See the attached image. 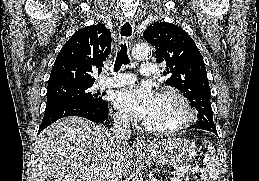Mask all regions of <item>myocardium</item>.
<instances>
[{"mask_svg": "<svg viewBox=\"0 0 259 181\" xmlns=\"http://www.w3.org/2000/svg\"><path fill=\"white\" fill-rule=\"evenodd\" d=\"M163 97H170L180 104L183 110L182 119L177 124L168 127H154L146 123V130L157 135H171L188 128L195 119L194 109L189 99L180 90L172 86L163 87L158 92L157 98Z\"/></svg>", "mask_w": 259, "mask_h": 181, "instance_id": "obj_1", "label": "myocardium"}]
</instances>
